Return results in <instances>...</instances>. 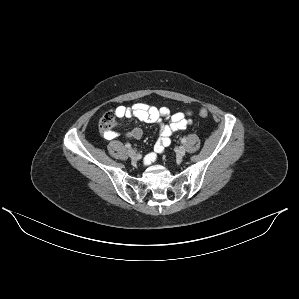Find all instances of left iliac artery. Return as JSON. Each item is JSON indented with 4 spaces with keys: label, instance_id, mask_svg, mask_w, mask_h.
<instances>
[{
    "label": "left iliac artery",
    "instance_id": "obj_1",
    "mask_svg": "<svg viewBox=\"0 0 299 299\" xmlns=\"http://www.w3.org/2000/svg\"><path fill=\"white\" fill-rule=\"evenodd\" d=\"M181 142H182V143H185V142H186V139H185V138L181 139Z\"/></svg>",
    "mask_w": 299,
    "mask_h": 299
}]
</instances>
